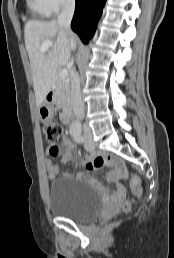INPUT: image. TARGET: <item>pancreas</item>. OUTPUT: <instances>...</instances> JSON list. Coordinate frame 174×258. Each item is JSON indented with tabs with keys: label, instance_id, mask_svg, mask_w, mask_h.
I'll return each mask as SVG.
<instances>
[{
	"label": "pancreas",
	"instance_id": "obj_1",
	"mask_svg": "<svg viewBox=\"0 0 174 258\" xmlns=\"http://www.w3.org/2000/svg\"><path fill=\"white\" fill-rule=\"evenodd\" d=\"M70 101V91L69 85L60 78L57 77L55 91H54V100L53 102L61 109H66L69 106Z\"/></svg>",
	"mask_w": 174,
	"mask_h": 258
}]
</instances>
